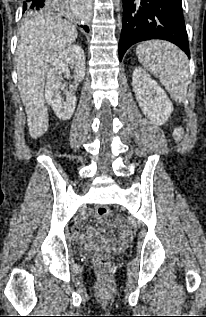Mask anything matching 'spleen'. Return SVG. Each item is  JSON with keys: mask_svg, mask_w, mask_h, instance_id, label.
I'll list each match as a JSON object with an SVG mask.
<instances>
[{"mask_svg": "<svg viewBox=\"0 0 206 317\" xmlns=\"http://www.w3.org/2000/svg\"><path fill=\"white\" fill-rule=\"evenodd\" d=\"M136 54L142 65L159 78L172 99L181 103L189 82L188 59L175 45L165 41H146Z\"/></svg>", "mask_w": 206, "mask_h": 317, "instance_id": "1", "label": "spleen"}]
</instances>
